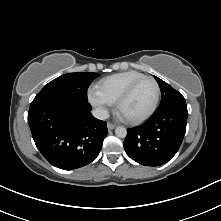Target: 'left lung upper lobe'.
<instances>
[{
	"label": "left lung upper lobe",
	"instance_id": "left-lung-upper-lobe-1",
	"mask_svg": "<svg viewBox=\"0 0 221 221\" xmlns=\"http://www.w3.org/2000/svg\"><path fill=\"white\" fill-rule=\"evenodd\" d=\"M161 90V103L159 109L178 103H186L182 94L172 88L169 84L154 76Z\"/></svg>",
	"mask_w": 221,
	"mask_h": 221
}]
</instances>
